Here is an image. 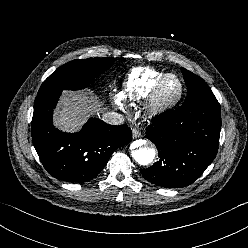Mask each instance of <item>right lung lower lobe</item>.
I'll return each mask as SVG.
<instances>
[{"instance_id": "right-lung-lower-lobe-1", "label": "right lung lower lobe", "mask_w": 248, "mask_h": 248, "mask_svg": "<svg viewBox=\"0 0 248 248\" xmlns=\"http://www.w3.org/2000/svg\"><path fill=\"white\" fill-rule=\"evenodd\" d=\"M61 92L37 95L31 129L33 144L51 176L68 182H87L101 172L117 148L131 141V129L90 118L78 133L61 132L52 123Z\"/></svg>"}]
</instances>
